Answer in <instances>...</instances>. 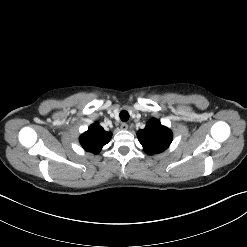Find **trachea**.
<instances>
[{
    "label": "trachea",
    "instance_id": "3493384b",
    "mask_svg": "<svg viewBox=\"0 0 247 247\" xmlns=\"http://www.w3.org/2000/svg\"><path fill=\"white\" fill-rule=\"evenodd\" d=\"M121 121L126 122L129 119V113L126 110H122L119 114Z\"/></svg>",
    "mask_w": 247,
    "mask_h": 247
}]
</instances>
